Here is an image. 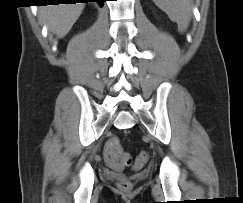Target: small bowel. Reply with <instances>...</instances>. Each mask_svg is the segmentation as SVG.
<instances>
[{
    "mask_svg": "<svg viewBox=\"0 0 243 203\" xmlns=\"http://www.w3.org/2000/svg\"><path fill=\"white\" fill-rule=\"evenodd\" d=\"M121 150L119 140L116 137L109 139L103 150L104 159L106 163L115 171H120L124 167L118 160V153ZM135 167H140L138 162L134 164Z\"/></svg>",
    "mask_w": 243,
    "mask_h": 203,
    "instance_id": "obj_1",
    "label": "small bowel"
}]
</instances>
